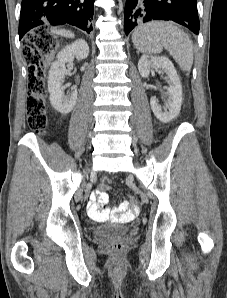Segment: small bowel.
I'll use <instances>...</instances> for the list:
<instances>
[{"instance_id":"1","label":"small bowel","mask_w":227,"mask_h":298,"mask_svg":"<svg viewBox=\"0 0 227 298\" xmlns=\"http://www.w3.org/2000/svg\"><path fill=\"white\" fill-rule=\"evenodd\" d=\"M104 180L109 182V179ZM103 180V181H104ZM107 190L100 191L99 189L91 194L90 202L87 207V212L90 218L103 221L111 217H119L123 220H128L133 214L137 213L138 207H132L131 209L123 202L119 207L110 209L106 207L109 201Z\"/></svg>"}]
</instances>
